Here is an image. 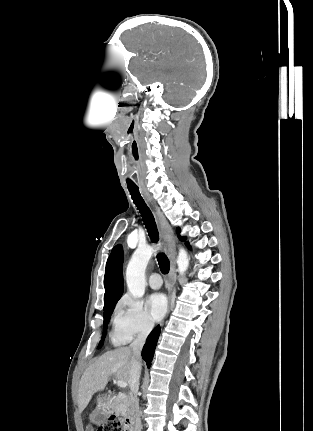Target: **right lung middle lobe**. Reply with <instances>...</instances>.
Wrapping results in <instances>:
<instances>
[{
  "mask_svg": "<svg viewBox=\"0 0 313 431\" xmlns=\"http://www.w3.org/2000/svg\"><path fill=\"white\" fill-rule=\"evenodd\" d=\"M116 303L117 302H115V303H113V304H111V305H109L107 307H104V323H103V335H102V338H104L105 335H106L107 325H108L109 320H110V315H111V313H112V311H113ZM102 345H103V342L101 341L99 343V345H98V348H100Z\"/></svg>",
  "mask_w": 313,
  "mask_h": 431,
  "instance_id": "right-lung-middle-lobe-1",
  "label": "right lung middle lobe"
}]
</instances>
